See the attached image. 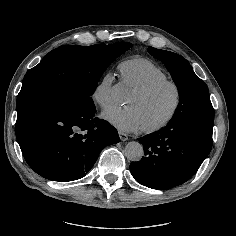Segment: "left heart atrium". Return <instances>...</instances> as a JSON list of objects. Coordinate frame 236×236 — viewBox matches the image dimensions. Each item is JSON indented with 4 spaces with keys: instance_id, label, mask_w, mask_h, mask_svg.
<instances>
[{
    "instance_id": "obj_1",
    "label": "left heart atrium",
    "mask_w": 236,
    "mask_h": 236,
    "mask_svg": "<svg viewBox=\"0 0 236 236\" xmlns=\"http://www.w3.org/2000/svg\"><path fill=\"white\" fill-rule=\"evenodd\" d=\"M104 118L121 131H135L142 128L139 113L131 106L107 110Z\"/></svg>"
}]
</instances>
